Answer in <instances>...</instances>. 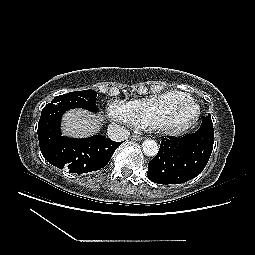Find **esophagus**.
Here are the masks:
<instances>
[{"mask_svg": "<svg viewBox=\"0 0 255 255\" xmlns=\"http://www.w3.org/2000/svg\"><path fill=\"white\" fill-rule=\"evenodd\" d=\"M130 139L132 140V141H141V140H143V137L142 136H139V135H131V137H130Z\"/></svg>", "mask_w": 255, "mask_h": 255, "instance_id": "34e87169", "label": "esophagus"}]
</instances>
